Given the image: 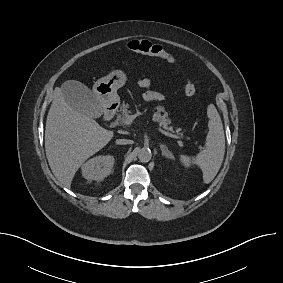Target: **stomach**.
Returning <instances> with one entry per match:
<instances>
[{
	"instance_id": "1",
	"label": "stomach",
	"mask_w": 283,
	"mask_h": 283,
	"mask_svg": "<svg viewBox=\"0 0 283 283\" xmlns=\"http://www.w3.org/2000/svg\"><path fill=\"white\" fill-rule=\"evenodd\" d=\"M127 76L122 70H114L99 79L93 86V92L101 106L107 107L119 101L117 90L126 83Z\"/></svg>"
}]
</instances>
